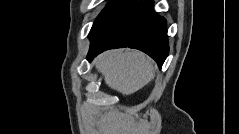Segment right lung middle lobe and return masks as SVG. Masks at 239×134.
I'll list each match as a JSON object with an SVG mask.
<instances>
[{
  "label": "right lung middle lobe",
  "mask_w": 239,
  "mask_h": 134,
  "mask_svg": "<svg viewBox=\"0 0 239 134\" xmlns=\"http://www.w3.org/2000/svg\"><path fill=\"white\" fill-rule=\"evenodd\" d=\"M125 4L124 0H112L109 5H107L103 11L96 18L92 29L89 33L91 36L94 32H96L101 25H103L107 19H109L117 10H119Z\"/></svg>",
  "instance_id": "obj_1"
}]
</instances>
